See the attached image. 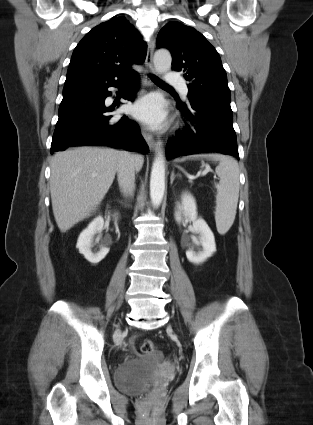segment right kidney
Instances as JSON below:
<instances>
[{
	"mask_svg": "<svg viewBox=\"0 0 313 425\" xmlns=\"http://www.w3.org/2000/svg\"><path fill=\"white\" fill-rule=\"evenodd\" d=\"M104 225V219L101 216L96 217L88 227L79 235L76 247L79 252L92 264L99 263L109 252V248L101 246L98 252H92V240L95 234L101 233Z\"/></svg>",
	"mask_w": 313,
	"mask_h": 425,
	"instance_id": "right-kidney-1",
	"label": "right kidney"
}]
</instances>
